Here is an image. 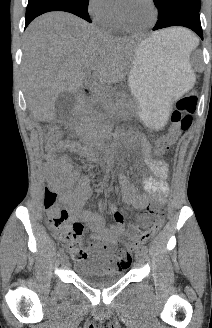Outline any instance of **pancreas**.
I'll use <instances>...</instances> for the list:
<instances>
[{
    "label": "pancreas",
    "instance_id": "pancreas-1",
    "mask_svg": "<svg viewBox=\"0 0 212 328\" xmlns=\"http://www.w3.org/2000/svg\"><path fill=\"white\" fill-rule=\"evenodd\" d=\"M100 101L104 106L105 113L94 109V103ZM132 106L131 100H122L118 93L110 91L101 94L96 100L83 105L81 112L76 118L75 128L89 140L100 139L103 122L109 115L120 113L123 109Z\"/></svg>",
    "mask_w": 212,
    "mask_h": 328
}]
</instances>
